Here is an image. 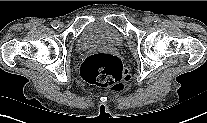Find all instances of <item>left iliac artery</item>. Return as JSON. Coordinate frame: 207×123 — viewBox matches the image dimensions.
Masks as SVG:
<instances>
[{"label":"left iliac artery","mask_w":207,"mask_h":123,"mask_svg":"<svg viewBox=\"0 0 207 123\" xmlns=\"http://www.w3.org/2000/svg\"><path fill=\"white\" fill-rule=\"evenodd\" d=\"M152 20H153L154 22H158V21H159V18H158V16H153V17H152Z\"/></svg>","instance_id":"1"}]
</instances>
